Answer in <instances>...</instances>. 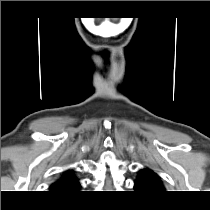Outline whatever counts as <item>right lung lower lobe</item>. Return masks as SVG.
Instances as JSON below:
<instances>
[{
  "label": "right lung lower lobe",
  "mask_w": 210,
  "mask_h": 210,
  "mask_svg": "<svg viewBox=\"0 0 210 210\" xmlns=\"http://www.w3.org/2000/svg\"><path fill=\"white\" fill-rule=\"evenodd\" d=\"M74 194H76V193H74ZM74 194H66V195H64V196H72V195H74Z\"/></svg>",
  "instance_id": "right-lung-lower-lobe-1"
}]
</instances>
